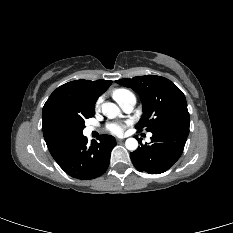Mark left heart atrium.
<instances>
[{"label":"left heart atrium","instance_id":"1","mask_svg":"<svg viewBox=\"0 0 233 233\" xmlns=\"http://www.w3.org/2000/svg\"><path fill=\"white\" fill-rule=\"evenodd\" d=\"M108 129L112 133L120 135L123 133V131L125 129V125L124 124H110V125H108Z\"/></svg>","mask_w":233,"mask_h":233}]
</instances>
